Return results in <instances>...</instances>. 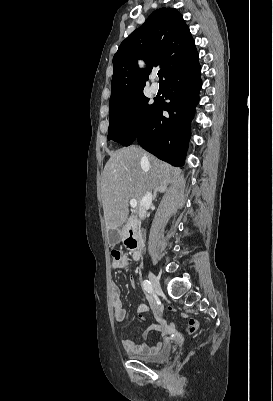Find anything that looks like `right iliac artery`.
Segmentation results:
<instances>
[{
    "label": "right iliac artery",
    "instance_id": "82829eb1",
    "mask_svg": "<svg viewBox=\"0 0 273 401\" xmlns=\"http://www.w3.org/2000/svg\"><path fill=\"white\" fill-rule=\"evenodd\" d=\"M142 286H143L144 290H146L148 293H152L153 288H152L150 281L144 280L142 282Z\"/></svg>",
    "mask_w": 273,
    "mask_h": 401
}]
</instances>
